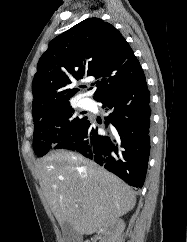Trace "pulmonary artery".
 I'll return each instance as SVG.
<instances>
[{
  "instance_id": "e3ab8cb5",
  "label": "pulmonary artery",
  "mask_w": 187,
  "mask_h": 242,
  "mask_svg": "<svg viewBox=\"0 0 187 242\" xmlns=\"http://www.w3.org/2000/svg\"><path fill=\"white\" fill-rule=\"evenodd\" d=\"M82 106H83V107H87L88 104H87L86 102H82Z\"/></svg>"
}]
</instances>
